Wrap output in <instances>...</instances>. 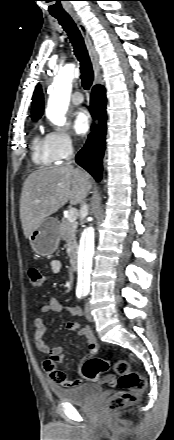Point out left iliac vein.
<instances>
[{
  "label": "left iliac vein",
  "instance_id": "4c4485c4",
  "mask_svg": "<svg viewBox=\"0 0 174 440\" xmlns=\"http://www.w3.org/2000/svg\"><path fill=\"white\" fill-rule=\"evenodd\" d=\"M85 316H86V319H87L89 322H93V321H94V318H93V316H92V314H91V312H90V309L88 308L87 305H86V307H85Z\"/></svg>",
  "mask_w": 174,
  "mask_h": 440
}]
</instances>
